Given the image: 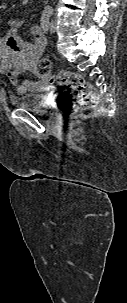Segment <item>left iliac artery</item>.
I'll list each match as a JSON object with an SVG mask.
<instances>
[{
  "label": "left iliac artery",
  "instance_id": "1",
  "mask_svg": "<svg viewBox=\"0 0 127 303\" xmlns=\"http://www.w3.org/2000/svg\"><path fill=\"white\" fill-rule=\"evenodd\" d=\"M53 14V9H52V7L51 6H46L45 8H44V11H43V14L42 15H44V16H51Z\"/></svg>",
  "mask_w": 127,
  "mask_h": 303
}]
</instances>
